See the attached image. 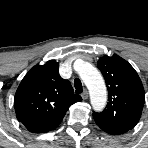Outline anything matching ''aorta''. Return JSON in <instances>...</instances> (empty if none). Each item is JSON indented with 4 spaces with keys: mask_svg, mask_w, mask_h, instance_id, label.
<instances>
[{
    "mask_svg": "<svg viewBox=\"0 0 148 148\" xmlns=\"http://www.w3.org/2000/svg\"><path fill=\"white\" fill-rule=\"evenodd\" d=\"M79 74L90 93V102L94 110H102L107 101V91L100 72L90 63H81Z\"/></svg>",
    "mask_w": 148,
    "mask_h": 148,
    "instance_id": "1",
    "label": "aorta"
}]
</instances>
